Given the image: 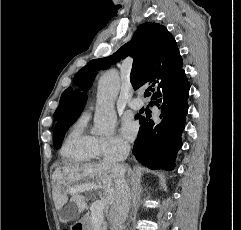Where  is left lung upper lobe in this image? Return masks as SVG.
<instances>
[{
	"mask_svg": "<svg viewBox=\"0 0 241 230\" xmlns=\"http://www.w3.org/2000/svg\"><path fill=\"white\" fill-rule=\"evenodd\" d=\"M93 79H94V76L90 80L84 82L80 86V90H84V91L89 90V88L92 85ZM86 100H87V95L84 92H80L79 90L75 91L74 96L71 100L70 106L68 108L67 114L65 115L62 121H58L54 129L53 143L56 149H59L61 147L62 141L64 139V135L67 129L80 116L85 106Z\"/></svg>",
	"mask_w": 241,
	"mask_h": 230,
	"instance_id": "5c2ea615",
	"label": "left lung upper lobe"
}]
</instances>
